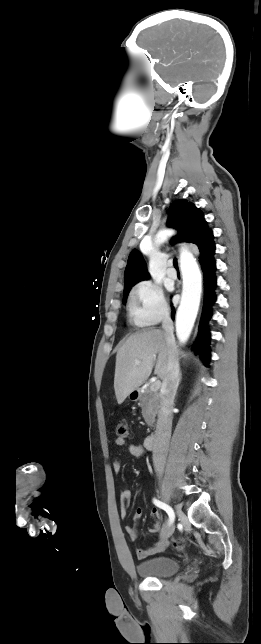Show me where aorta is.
<instances>
[{
	"mask_svg": "<svg viewBox=\"0 0 261 644\" xmlns=\"http://www.w3.org/2000/svg\"><path fill=\"white\" fill-rule=\"evenodd\" d=\"M162 241L163 236L159 235L157 243ZM180 267L183 278V291L176 315V331L179 342L185 343L190 336L199 308L201 277L195 259L188 252L181 253Z\"/></svg>",
	"mask_w": 261,
	"mask_h": 644,
	"instance_id": "1",
	"label": "aorta"
}]
</instances>
